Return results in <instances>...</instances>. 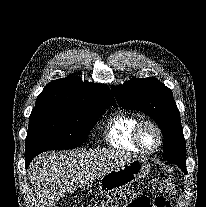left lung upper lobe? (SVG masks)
I'll return each mask as SVG.
<instances>
[{
  "label": "left lung upper lobe",
  "instance_id": "obj_1",
  "mask_svg": "<svg viewBox=\"0 0 206 207\" xmlns=\"http://www.w3.org/2000/svg\"><path fill=\"white\" fill-rule=\"evenodd\" d=\"M112 91L121 107L139 110L160 125L164 159L186 169V143L172 91L153 77L132 78Z\"/></svg>",
  "mask_w": 206,
  "mask_h": 207
}]
</instances>
